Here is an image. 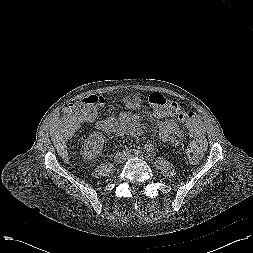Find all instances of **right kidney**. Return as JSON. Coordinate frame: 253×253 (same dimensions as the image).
<instances>
[{"mask_svg": "<svg viewBox=\"0 0 253 253\" xmlns=\"http://www.w3.org/2000/svg\"><path fill=\"white\" fill-rule=\"evenodd\" d=\"M104 138L101 134L90 135L82 146V155L86 161H93L101 155L104 146Z\"/></svg>", "mask_w": 253, "mask_h": 253, "instance_id": "1", "label": "right kidney"}]
</instances>
